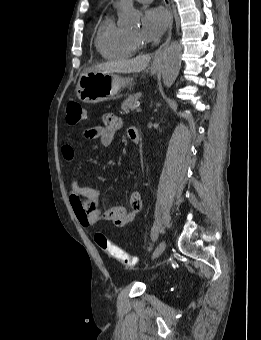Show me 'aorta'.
I'll list each match as a JSON object with an SVG mask.
<instances>
[{
	"mask_svg": "<svg viewBox=\"0 0 261 340\" xmlns=\"http://www.w3.org/2000/svg\"><path fill=\"white\" fill-rule=\"evenodd\" d=\"M119 20L125 26L138 25L139 13L133 7L132 0H122ZM182 45L178 41H172L167 47L163 66L162 80L165 87L169 88L175 82L181 67Z\"/></svg>",
	"mask_w": 261,
	"mask_h": 340,
	"instance_id": "1",
	"label": "aorta"
}]
</instances>
